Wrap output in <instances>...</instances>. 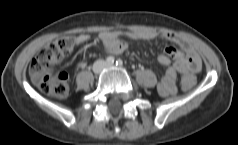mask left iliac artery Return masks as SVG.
Returning a JSON list of instances; mask_svg holds the SVG:
<instances>
[{
  "mask_svg": "<svg viewBox=\"0 0 238 145\" xmlns=\"http://www.w3.org/2000/svg\"><path fill=\"white\" fill-rule=\"evenodd\" d=\"M116 66H118V67L123 66V61H122L121 59H118V60L116 61Z\"/></svg>",
  "mask_w": 238,
  "mask_h": 145,
  "instance_id": "left-iliac-artery-1",
  "label": "left iliac artery"
}]
</instances>
